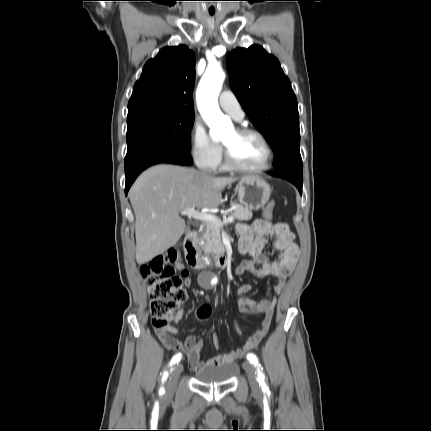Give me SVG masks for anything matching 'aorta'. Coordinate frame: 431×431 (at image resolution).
<instances>
[{
  "instance_id": "762f6f07",
  "label": "aorta",
  "mask_w": 431,
  "mask_h": 431,
  "mask_svg": "<svg viewBox=\"0 0 431 431\" xmlns=\"http://www.w3.org/2000/svg\"><path fill=\"white\" fill-rule=\"evenodd\" d=\"M224 79L225 73L220 66H209L196 92L199 112L209 126V134L213 140L222 138L225 131L231 128L230 120L223 115L218 105V96Z\"/></svg>"
}]
</instances>
